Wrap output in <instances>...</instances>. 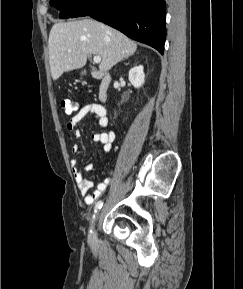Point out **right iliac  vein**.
<instances>
[{
  "instance_id": "right-iliac-vein-1",
  "label": "right iliac vein",
  "mask_w": 243,
  "mask_h": 289,
  "mask_svg": "<svg viewBox=\"0 0 243 289\" xmlns=\"http://www.w3.org/2000/svg\"><path fill=\"white\" fill-rule=\"evenodd\" d=\"M97 219H98V215H97ZM95 223H96V221H94L92 224L93 229L95 228ZM95 238H96V233H95V229H94V231L91 232V239L95 240Z\"/></svg>"
}]
</instances>
